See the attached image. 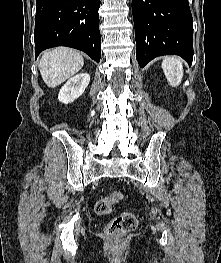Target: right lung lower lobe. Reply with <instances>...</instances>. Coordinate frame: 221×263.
<instances>
[{
    "mask_svg": "<svg viewBox=\"0 0 221 263\" xmlns=\"http://www.w3.org/2000/svg\"><path fill=\"white\" fill-rule=\"evenodd\" d=\"M100 0H36L35 57L47 48L67 46L101 58Z\"/></svg>",
    "mask_w": 221,
    "mask_h": 263,
    "instance_id": "98d812e1",
    "label": "right lung lower lobe"
}]
</instances>
